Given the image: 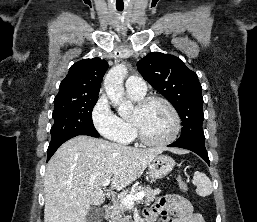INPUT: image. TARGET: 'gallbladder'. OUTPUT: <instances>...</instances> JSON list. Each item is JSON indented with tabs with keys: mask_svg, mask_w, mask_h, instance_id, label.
Wrapping results in <instances>:
<instances>
[{
	"mask_svg": "<svg viewBox=\"0 0 257 222\" xmlns=\"http://www.w3.org/2000/svg\"><path fill=\"white\" fill-rule=\"evenodd\" d=\"M104 218L103 209L97 206H91L86 216V222H102Z\"/></svg>",
	"mask_w": 257,
	"mask_h": 222,
	"instance_id": "bac80fb5",
	"label": "gallbladder"
}]
</instances>
